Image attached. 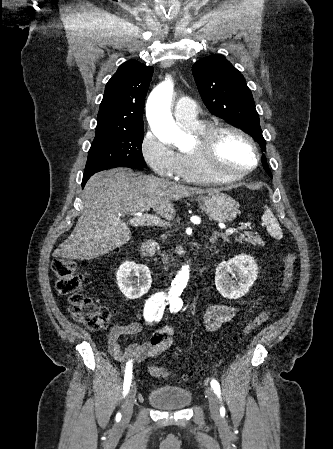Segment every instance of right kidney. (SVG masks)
<instances>
[{
	"label": "right kidney",
	"mask_w": 333,
	"mask_h": 449,
	"mask_svg": "<svg viewBox=\"0 0 333 449\" xmlns=\"http://www.w3.org/2000/svg\"><path fill=\"white\" fill-rule=\"evenodd\" d=\"M116 276L120 291L128 299L143 296L151 287L152 278L146 265L123 262Z\"/></svg>",
	"instance_id": "obj_1"
}]
</instances>
